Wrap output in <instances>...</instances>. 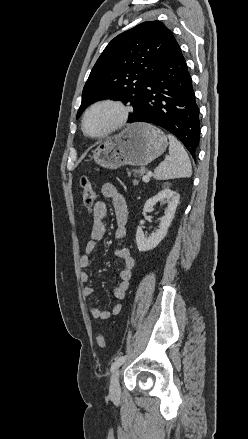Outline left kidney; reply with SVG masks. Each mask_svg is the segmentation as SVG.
<instances>
[{
  "instance_id": "obj_1",
  "label": "left kidney",
  "mask_w": 248,
  "mask_h": 439,
  "mask_svg": "<svg viewBox=\"0 0 248 439\" xmlns=\"http://www.w3.org/2000/svg\"><path fill=\"white\" fill-rule=\"evenodd\" d=\"M179 198L180 196L177 192L165 188L145 202L143 208L144 212H152L157 203H168V205L165 209L164 216H162L160 219L158 229L149 237L145 236L142 229L144 220H140L136 232V244L140 252L152 250L164 239L174 218L177 205L179 204Z\"/></svg>"
}]
</instances>
